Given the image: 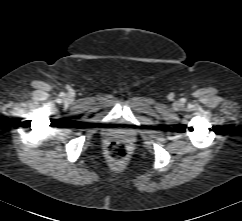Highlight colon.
Returning <instances> with one entry per match:
<instances>
[{
  "label": "colon",
  "mask_w": 242,
  "mask_h": 221,
  "mask_svg": "<svg viewBox=\"0 0 242 221\" xmlns=\"http://www.w3.org/2000/svg\"><path fill=\"white\" fill-rule=\"evenodd\" d=\"M108 154L114 160H124L128 156V149L125 143L112 141L108 146Z\"/></svg>",
  "instance_id": "5ec220e1"
}]
</instances>
